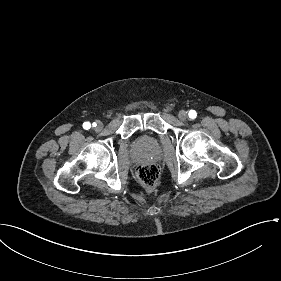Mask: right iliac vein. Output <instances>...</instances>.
Returning <instances> with one entry per match:
<instances>
[{
	"label": "right iliac vein",
	"mask_w": 281,
	"mask_h": 281,
	"mask_svg": "<svg viewBox=\"0 0 281 281\" xmlns=\"http://www.w3.org/2000/svg\"><path fill=\"white\" fill-rule=\"evenodd\" d=\"M102 128H103V124L101 122H97L96 127H95L96 131H101Z\"/></svg>",
	"instance_id": "obj_1"
}]
</instances>
